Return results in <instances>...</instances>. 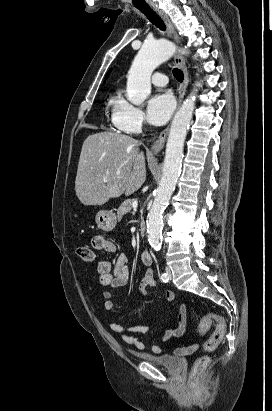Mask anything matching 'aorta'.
Returning a JSON list of instances; mask_svg holds the SVG:
<instances>
[{
  "label": "aorta",
  "instance_id": "1",
  "mask_svg": "<svg viewBox=\"0 0 272 411\" xmlns=\"http://www.w3.org/2000/svg\"><path fill=\"white\" fill-rule=\"evenodd\" d=\"M175 45L165 39L145 42L136 55L127 77V97L134 105H141L151 93V74L168 60ZM195 92L183 102L172 121L163 164V173L153 205L147 216L148 241L158 251L161 248L163 213L173 194L181 170L184 142L195 108Z\"/></svg>",
  "mask_w": 272,
  "mask_h": 411
}]
</instances>
